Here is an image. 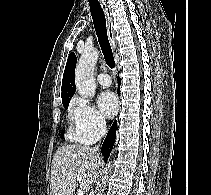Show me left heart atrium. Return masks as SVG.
<instances>
[{
  "label": "left heart atrium",
  "instance_id": "39dd6f15",
  "mask_svg": "<svg viewBox=\"0 0 211 195\" xmlns=\"http://www.w3.org/2000/svg\"><path fill=\"white\" fill-rule=\"evenodd\" d=\"M98 106L105 117H113L118 109V100L112 92H102L97 99Z\"/></svg>",
  "mask_w": 211,
  "mask_h": 195
}]
</instances>
